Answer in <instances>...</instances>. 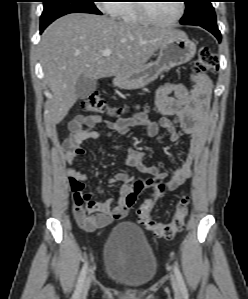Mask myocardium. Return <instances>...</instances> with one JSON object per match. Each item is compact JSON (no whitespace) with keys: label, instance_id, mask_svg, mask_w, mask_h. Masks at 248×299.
<instances>
[{"label":"myocardium","instance_id":"myocardium-1","mask_svg":"<svg viewBox=\"0 0 248 299\" xmlns=\"http://www.w3.org/2000/svg\"><path fill=\"white\" fill-rule=\"evenodd\" d=\"M179 4V12L176 17L170 20H160L156 18L149 10L150 3H139L137 5L138 12L142 16V18L150 24L159 25V26H169L177 23L182 19L185 13V3L183 0H178Z\"/></svg>","mask_w":248,"mask_h":299}]
</instances>
